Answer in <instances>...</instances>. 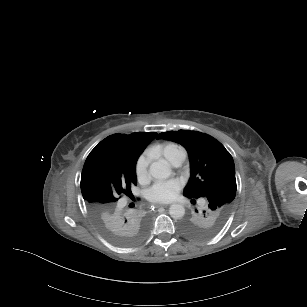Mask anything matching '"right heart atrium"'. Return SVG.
Segmentation results:
<instances>
[{
	"instance_id": "obj_1",
	"label": "right heart atrium",
	"mask_w": 307,
	"mask_h": 307,
	"mask_svg": "<svg viewBox=\"0 0 307 307\" xmlns=\"http://www.w3.org/2000/svg\"><path fill=\"white\" fill-rule=\"evenodd\" d=\"M145 171V164L143 158H140L137 163V172L139 174L143 173Z\"/></svg>"
}]
</instances>
